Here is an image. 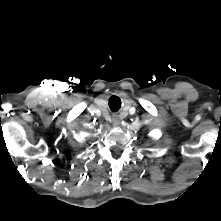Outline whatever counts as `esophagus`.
<instances>
[{"instance_id":"34e87169","label":"esophagus","mask_w":221,"mask_h":221,"mask_svg":"<svg viewBox=\"0 0 221 221\" xmlns=\"http://www.w3.org/2000/svg\"><path fill=\"white\" fill-rule=\"evenodd\" d=\"M118 122H119V120H118V119H115L113 125L116 126V125L118 124Z\"/></svg>"}]
</instances>
